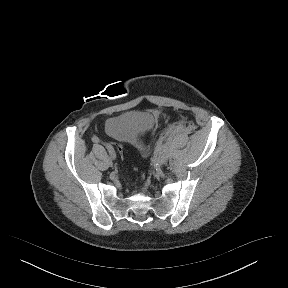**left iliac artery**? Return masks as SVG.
Wrapping results in <instances>:
<instances>
[{
  "instance_id": "44dca946",
  "label": "left iliac artery",
  "mask_w": 288,
  "mask_h": 288,
  "mask_svg": "<svg viewBox=\"0 0 288 288\" xmlns=\"http://www.w3.org/2000/svg\"><path fill=\"white\" fill-rule=\"evenodd\" d=\"M165 151H166V149H165L164 146H162V147L160 148V150H159V152H160L161 154L165 153Z\"/></svg>"
}]
</instances>
